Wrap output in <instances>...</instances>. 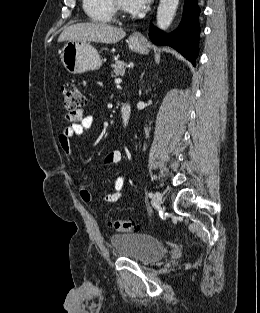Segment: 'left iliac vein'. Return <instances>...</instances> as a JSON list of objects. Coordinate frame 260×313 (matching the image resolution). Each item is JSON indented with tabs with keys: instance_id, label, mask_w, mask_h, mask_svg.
I'll list each match as a JSON object with an SVG mask.
<instances>
[{
	"instance_id": "left-iliac-vein-1",
	"label": "left iliac vein",
	"mask_w": 260,
	"mask_h": 313,
	"mask_svg": "<svg viewBox=\"0 0 260 313\" xmlns=\"http://www.w3.org/2000/svg\"><path fill=\"white\" fill-rule=\"evenodd\" d=\"M161 204H162V194L159 191H157L152 199V206L154 208H159Z\"/></svg>"
}]
</instances>
